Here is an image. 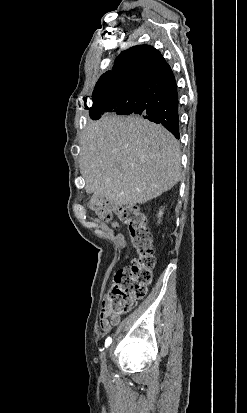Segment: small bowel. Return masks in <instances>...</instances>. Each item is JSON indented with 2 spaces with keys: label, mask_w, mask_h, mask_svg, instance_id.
I'll return each instance as SVG.
<instances>
[{
  "label": "small bowel",
  "mask_w": 247,
  "mask_h": 413,
  "mask_svg": "<svg viewBox=\"0 0 247 413\" xmlns=\"http://www.w3.org/2000/svg\"><path fill=\"white\" fill-rule=\"evenodd\" d=\"M109 298H106L103 300V309L100 312V321L99 325L101 330L104 333H107L111 330L112 327L118 325L121 321V318L119 315H114L111 314L107 308Z\"/></svg>",
  "instance_id": "1"
}]
</instances>
